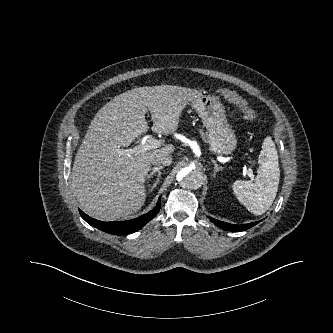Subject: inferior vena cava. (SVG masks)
Returning <instances> with one entry per match:
<instances>
[{"instance_id":"obj_1","label":"inferior vena cava","mask_w":333,"mask_h":333,"mask_svg":"<svg viewBox=\"0 0 333 333\" xmlns=\"http://www.w3.org/2000/svg\"><path fill=\"white\" fill-rule=\"evenodd\" d=\"M154 165H170L172 163V158L170 155H156L152 159Z\"/></svg>"}]
</instances>
